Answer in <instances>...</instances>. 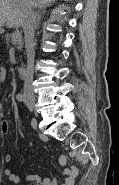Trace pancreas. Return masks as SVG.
Here are the masks:
<instances>
[{"label": "pancreas", "mask_w": 119, "mask_h": 185, "mask_svg": "<svg viewBox=\"0 0 119 185\" xmlns=\"http://www.w3.org/2000/svg\"><path fill=\"white\" fill-rule=\"evenodd\" d=\"M12 35H13V34H12ZM12 35H9V34H6V35H5V40H6V43H7V44H8V43H13V42H12ZM16 44L18 45V46H17L18 49H22V47H23L22 39H20V41H18Z\"/></svg>", "instance_id": "cf45deb5"}]
</instances>
